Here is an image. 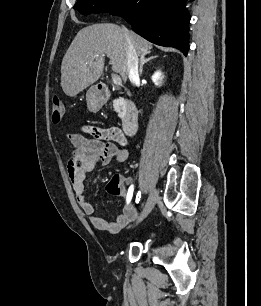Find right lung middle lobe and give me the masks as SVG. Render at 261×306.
<instances>
[{
    "label": "right lung middle lobe",
    "mask_w": 261,
    "mask_h": 306,
    "mask_svg": "<svg viewBox=\"0 0 261 306\" xmlns=\"http://www.w3.org/2000/svg\"><path fill=\"white\" fill-rule=\"evenodd\" d=\"M129 1L130 0H78V3L74 5V9L84 15L91 13H109Z\"/></svg>",
    "instance_id": "1"
}]
</instances>
